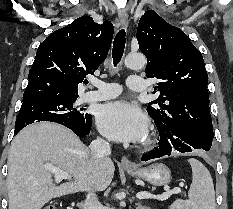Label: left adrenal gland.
<instances>
[{"instance_id": "obj_1", "label": "left adrenal gland", "mask_w": 233, "mask_h": 209, "mask_svg": "<svg viewBox=\"0 0 233 209\" xmlns=\"http://www.w3.org/2000/svg\"><path fill=\"white\" fill-rule=\"evenodd\" d=\"M136 209H149V208L146 207V206H143V205L140 204V203H137V204H136Z\"/></svg>"}]
</instances>
